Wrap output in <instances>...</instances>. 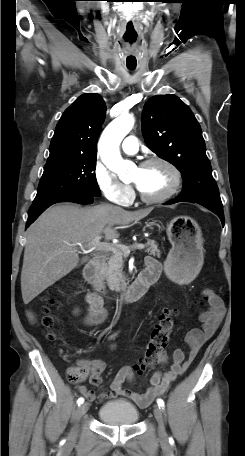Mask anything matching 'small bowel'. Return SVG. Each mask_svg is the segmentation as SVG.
<instances>
[{"mask_svg": "<svg viewBox=\"0 0 245 456\" xmlns=\"http://www.w3.org/2000/svg\"><path fill=\"white\" fill-rule=\"evenodd\" d=\"M149 259L154 260L151 258ZM86 301L89 308L84 323L91 326L103 323L108 314L102 300L94 293H88L86 295ZM198 303H206L209 308L206 311H203L199 316L202 327L191 329L185 336V341L189 347L188 356L186 357L184 352L180 349L175 350L172 354L170 370L164 373L159 371L155 372L150 378L151 386L145 393L141 394L123 387L125 382H133L134 380V373L132 369L127 366L122 367L118 371L111 383L110 390L96 395L93 390L81 386L79 388L80 393L89 401L104 402L116 397H124L134 402L140 408H145L150 405L156 397L162 395L167 390L171 382L175 381L188 369L202 345L213 336L224 317L226 309L223 300L214 290L205 289L202 293V299ZM29 317L31 320L34 319L31 312L29 313ZM161 362L163 364L167 362L166 354H164ZM81 364L90 372V383L95 386L100 385L102 382L101 376L105 368L104 363L100 360H92L83 361Z\"/></svg>", "mask_w": 245, "mask_h": 456, "instance_id": "1", "label": "small bowel"}]
</instances>
